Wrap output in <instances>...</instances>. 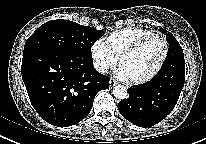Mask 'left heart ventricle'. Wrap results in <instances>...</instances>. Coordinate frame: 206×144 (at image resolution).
<instances>
[{
    "mask_svg": "<svg viewBox=\"0 0 206 144\" xmlns=\"http://www.w3.org/2000/svg\"><path fill=\"white\" fill-rule=\"evenodd\" d=\"M163 47L154 40L137 52L125 57L121 65L125 67L131 79H140L150 74L160 61Z\"/></svg>",
    "mask_w": 206,
    "mask_h": 144,
    "instance_id": "obj_1",
    "label": "left heart ventricle"
}]
</instances>
